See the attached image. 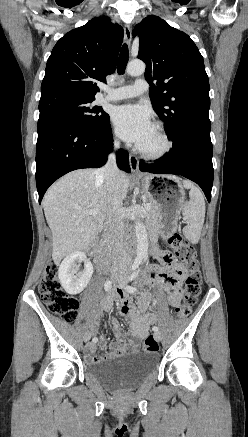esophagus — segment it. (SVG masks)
<instances>
[{"label":"esophagus","mask_w":248,"mask_h":437,"mask_svg":"<svg viewBox=\"0 0 248 437\" xmlns=\"http://www.w3.org/2000/svg\"><path fill=\"white\" fill-rule=\"evenodd\" d=\"M124 39H125V42L128 45H130L131 39H132V30H131V26L129 24H125V26H124ZM129 164H130V168H131L132 173L135 175H138V173H139V161L135 155H133V154L129 155Z\"/></svg>","instance_id":"34e87169"}]
</instances>
